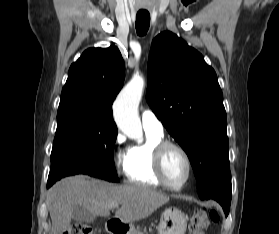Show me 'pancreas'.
I'll return each instance as SVG.
<instances>
[{"mask_svg":"<svg viewBox=\"0 0 279 234\" xmlns=\"http://www.w3.org/2000/svg\"><path fill=\"white\" fill-rule=\"evenodd\" d=\"M135 234H144V233L140 231H136Z\"/></svg>","mask_w":279,"mask_h":234,"instance_id":"1","label":"pancreas"}]
</instances>
